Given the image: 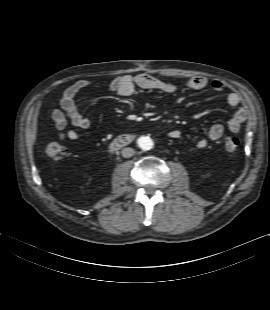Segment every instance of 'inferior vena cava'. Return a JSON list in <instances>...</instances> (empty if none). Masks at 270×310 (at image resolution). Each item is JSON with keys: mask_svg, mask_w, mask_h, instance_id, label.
<instances>
[{"mask_svg": "<svg viewBox=\"0 0 270 310\" xmlns=\"http://www.w3.org/2000/svg\"><path fill=\"white\" fill-rule=\"evenodd\" d=\"M135 153L134 149L130 148V147H126L122 150V156L124 158H129L131 156H133Z\"/></svg>", "mask_w": 270, "mask_h": 310, "instance_id": "602c4592", "label": "inferior vena cava"}]
</instances>
